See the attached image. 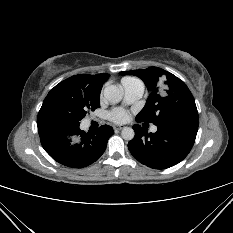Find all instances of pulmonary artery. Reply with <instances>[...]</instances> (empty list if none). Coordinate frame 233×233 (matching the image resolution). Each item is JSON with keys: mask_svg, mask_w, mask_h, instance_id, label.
Segmentation results:
<instances>
[{"mask_svg": "<svg viewBox=\"0 0 233 233\" xmlns=\"http://www.w3.org/2000/svg\"><path fill=\"white\" fill-rule=\"evenodd\" d=\"M124 100L126 103H133L140 99L144 93V84L141 81H134L131 83L123 84ZM152 132L157 131L156 126L151 127Z\"/></svg>", "mask_w": 233, "mask_h": 233, "instance_id": "obj_1", "label": "pulmonary artery"}]
</instances>
